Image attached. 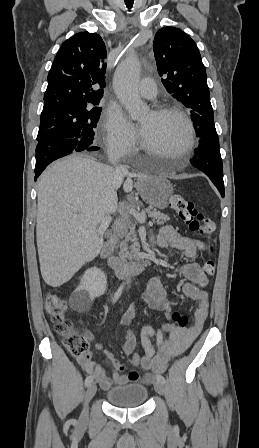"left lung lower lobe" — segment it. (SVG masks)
<instances>
[{"mask_svg": "<svg viewBox=\"0 0 259 448\" xmlns=\"http://www.w3.org/2000/svg\"><path fill=\"white\" fill-rule=\"evenodd\" d=\"M191 163L210 178L221 196L224 197L223 164L218 135L204 137L199 140V146L195 150V156L192 158Z\"/></svg>", "mask_w": 259, "mask_h": 448, "instance_id": "1", "label": "left lung lower lobe"}]
</instances>
